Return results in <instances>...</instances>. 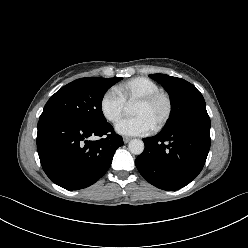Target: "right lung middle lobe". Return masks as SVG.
<instances>
[{
  "instance_id": "dd1d6c3e",
  "label": "right lung middle lobe",
  "mask_w": 248,
  "mask_h": 248,
  "mask_svg": "<svg viewBox=\"0 0 248 248\" xmlns=\"http://www.w3.org/2000/svg\"><path fill=\"white\" fill-rule=\"evenodd\" d=\"M121 79H77L62 87L48 100L39 119L62 116L86 124H104L107 120L102 113L103 96Z\"/></svg>"
}]
</instances>
